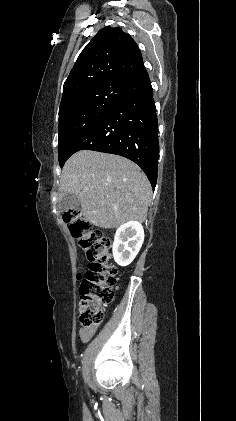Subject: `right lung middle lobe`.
I'll return each instance as SVG.
<instances>
[{
  "label": "right lung middle lobe",
  "instance_id": "right-lung-middle-lobe-1",
  "mask_svg": "<svg viewBox=\"0 0 236 421\" xmlns=\"http://www.w3.org/2000/svg\"><path fill=\"white\" fill-rule=\"evenodd\" d=\"M125 93L120 86L115 85L103 89L81 92L63 103L59 108V164L73 154L80 140L94 125H96L119 102Z\"/></svg>",
  "mask_w": 236,
  "mask_h": 421
}]
</instances>
